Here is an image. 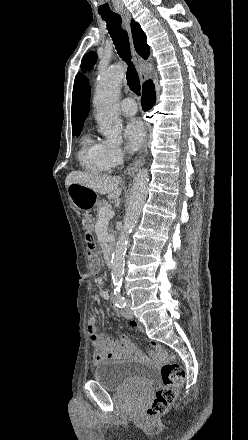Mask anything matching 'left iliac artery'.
Segmentation results:
<instances>
[{
  "instance_id": "left-iliac-artery-1",
  "label": "left iliac artery",
  "mask_w": 248,
  "mask_h": 440,
  "mask_svg": "<svg viewBox=\"0 0 248 440\" xmlns=\"http://www.w3.org/2000/svg\"><path fill=\"white\" fill-rule=\"evenodd\" d=\"M114 303L118 308H124L126 306L125 298L121 295L120 288L114 289Z\"/></svg>"
}]
</instances>
